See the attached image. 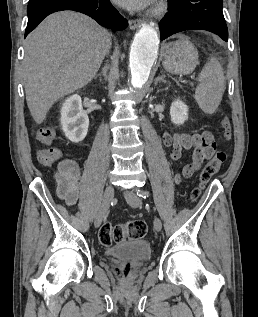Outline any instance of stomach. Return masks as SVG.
<instances>
[{
  "label": "stomach",
  "mask_w": 258,
  "mask_h": 317,
  "mask_svg": "<svg viewBox=\"0 0 258 317\" xmlns=\"http://www.w3.org/2000/svg\"><path fill=\"white\" fill-rule=\"evenodd\" d=\"M198 56L195 44L187 36H180L174 42H166L160 54L164 68L172 74H190L198 64Z\"/></svg>",
  "instance_id": "1"
}]
</instances>
